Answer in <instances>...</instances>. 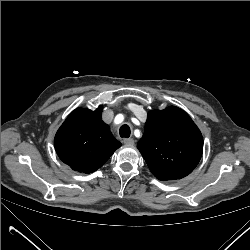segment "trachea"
Masks as SVG:
<instances>
[{"instance_id": "trachea-1", "label": "trachea", "mask_w": 250, "mask_h": 250, "mask_svg": "<svg viewBox=\"0 0 250 250\" xmlns=\"http://www.w3.org/2000/svg\"><path fill=\"white\" fill-rule=\"evenodd\" d=\"M119 134L123 138H128L131 134L130 127L127 124H124L120 127Z\"/></svg>"}]
</instances>
